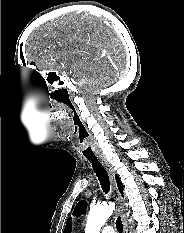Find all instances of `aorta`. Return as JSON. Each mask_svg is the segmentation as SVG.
Instances as JSON below:
<instances>
[{
    "label": "aorta",
    "instance_id": "obj_1",
    "mask_svg": "<svg viewBox=\"0 0 184 233\" xmlns=\"http://www.w3.org/2000/svg\"><path fill=\"white\" fill-rule=\"evenodd\" d=\"M114 210L113 203H102L93 207L88 215L85 233H100L103 224L111 216Z\"/></svg>",
    "mask_w": 184,
    "mask_h": 233
}]
</instances>
